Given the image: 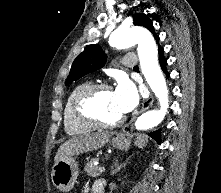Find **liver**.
I'll list each match as a JSON object with an SVG mask.
<instances>
[{"label": "liver", "instance_id": "obj_1", "mask_svg": "<svg viewBox=\"0 0 221 193\" xmlns=\"http://www.w3.org/2000/svg\"><path fill=\"white\" fill-rule=\"evenodd\" d=\"M110 136L111 133L109 132H98L74 136L60 145L55 155L54 162L57 163L62 159L69 158L74 155L97 150L108 142Z\"/></svg>", "mask_w": 221, "mask_h": 193}]
</instances>
